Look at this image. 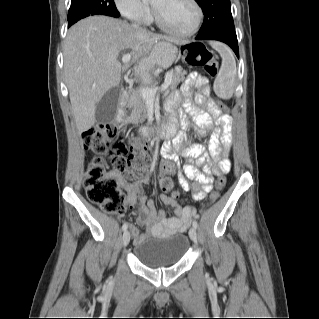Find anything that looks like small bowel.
Returning a JSON list of instances; mask_svg holds the SVG:
<instances>
[{
  "label": "small bowel",
  "instance_id": "small-bowel-1",
  "mask_svg": "<svg viewBox=\"0 0 319 319\" xmlns=\"http://www.w3.org/2000/svg\"><path fill=\"white\" fill-rule=\"evenodd\" d=\"M179 104H182L184 108V111L179 112L183 132L177 135L172 145L165 149L166 161L161 167L160 179L171 174L178 165L179 155L176 152H180L184 158L196 159L195 164L186 163L183 166V171L178 173V182L184 191L191 193L194 201H200L211 192L214 177L225 175L230 171L229 147L232 143L233 119L228 113L212 110L206 80L197 72H191L182 82L179 92L169 97L167 110L173 119L176 118V108ZM188 131L200 138L209 135L208 150L216 162L214 168L207 163L204 145L186 144V132ZM113 176L119 187L126 191L128 205L134 206L138 203L140 215L136 222L139 226L145 227L148 233L160 235L184 231L191 220L197 217L194 206L182 207L180 200L162 193L158 195V199L175 208V215L167 218L162 210L156 209L155 199H148L144 194V186L148 183L147 178L128 182L116 173H113ZM125 224L136 243L143 240L144 237L135 225Z\"/></svg>",
  "mask_w": 319,
  "mask_h": 319
}]
</instances>
